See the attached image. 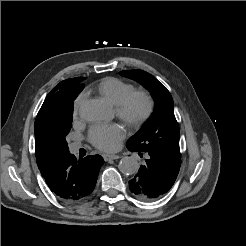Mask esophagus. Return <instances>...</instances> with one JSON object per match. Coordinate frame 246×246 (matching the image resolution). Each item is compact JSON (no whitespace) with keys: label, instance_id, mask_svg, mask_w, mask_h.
<instances>
[{"label":"esophagus","instance_id":"esophagus-1","mask_svg":"<svg viewBox=\"0 0 246 246\" xmlns=\"http://www.w3.org/2000/svg\"><path fill=\"white\" fill-rule=\"evenodd\" d=\"M120 157H121L120 155H109V154H105L103 156L105 161L119 159Z\"/></svg>","mask_w":246,"mask_h":246}]
</instances>
